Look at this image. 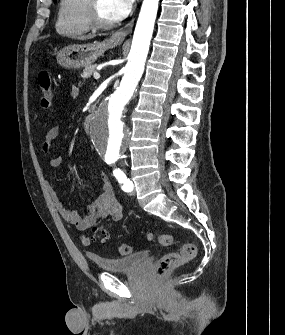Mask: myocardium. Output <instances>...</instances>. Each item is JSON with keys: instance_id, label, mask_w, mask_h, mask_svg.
<instances>
[{"instance_id": "myocardium-1", "label": "myocardium", "mask_w": 285, "mask_h": 335, "mask_svg": "<svg viewBox=\"0 0 285 335\" xmlns=\"http://www.w3.org/2000/svg\"><path fill=\"white\" fill-rule=\"evenodd\" d=\"M90 23L91 28L97 31H106L114 26L113 22L105 21L99 9V1H90Z\"/></svg>"}]
</instances>
